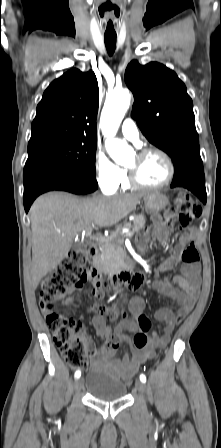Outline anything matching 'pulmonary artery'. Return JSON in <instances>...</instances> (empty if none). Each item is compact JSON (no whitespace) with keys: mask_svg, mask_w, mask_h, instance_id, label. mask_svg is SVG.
<instances>
[{"mask_svg":"<svg viewBox=\"0 0 221 448\" xmlns=\"http://www.w3.org/2000/svg\"><path fill=\"white\" fill-rule=\"evenodd\" d=\"M121 134L124 138L141 146L140 134L136 123L131 118H126L121 127Z\"/></svg>","mask_w":221,"mask_h":448,"instance_id":"1","label":"pulmonary artery"}]
</instances>
